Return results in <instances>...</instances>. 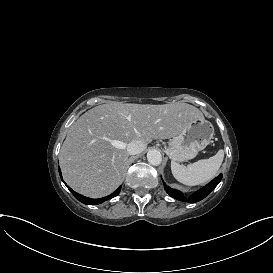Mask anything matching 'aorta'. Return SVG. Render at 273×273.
I'll return each instance as SVG.
<instances>
[{"instance_id": "1", "label": "aorta", "mask_w": 273, "mask_h": 273, "mask_svg": "<svg viewBox=\"0 0 273 273\" xmlns=\"http://www.w3.org/2000/svg\"><path fill=\"white\" fill-rule=\"evenodd\" d=\"M147 160L151 165L157 166L162 162V155L158 150L152 149L147 153Z\"/></svg>"}]
</instances>
